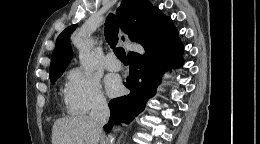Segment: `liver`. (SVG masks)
Instances as JSON below:
<instances>
[{
    "label": "liver",
    "instance_id": "1",
    "mask_svg": "<svg viewBox=\"0 0 260 144\" xmlns=\"http://www.w3.org/2000/svg\"><path fill=\"white\" fill-rule=\"evenodd\" d=\"M100 134L89 116L65 117L55 121L52 144H98Z\"/></svg>",
    "mask_w": 260,
    "mask_h": 144
}]
</instances>
